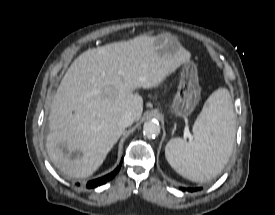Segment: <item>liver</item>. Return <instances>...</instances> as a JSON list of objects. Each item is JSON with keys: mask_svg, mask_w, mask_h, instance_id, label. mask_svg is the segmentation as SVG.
<instances>
[{"mask_svg": "<svg viewBox=\"0 0 275 215\" xmlns=\"http://www.w3.org/2000/svg\"><path fill=\"white\" fill-rule=\"evenodd\" d=\"M155 40L137 36L89 49L74 60L54 96L46 140L50 160L63 173L92 175L124 133L120 117L131 112L134 121L141 118L143 99L135 90L157 87L190 61L182 47L174 55L158 54Z\"/></svg>", "mask_w": 275, "mask_h": 215, "instance_id": "6515ba94", "label": "liver"}]
</instances>
